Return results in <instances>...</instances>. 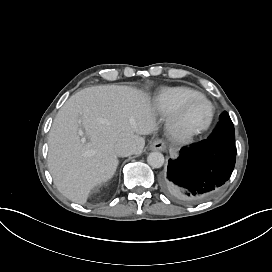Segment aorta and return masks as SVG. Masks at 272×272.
I'll use <instances>...</instances> for the list:
<instances>
[{
    "label": "aorta",
    "mask_w": 272,
    "mask_h": 272,
    "mask_svg": "<svg viewBox=\"0 0 272 272\" xmlns=\"http://www.w3.org/2000/svg\"><path fill=\"white\" fill-rule=\"evenodd\" d=\"M147 162L154 168H160L164 164V156L160 152H151L147 157Z\"/></svg>",
    "instance_id": "1"
}]
</instances>
